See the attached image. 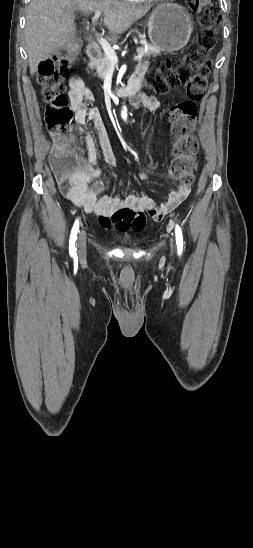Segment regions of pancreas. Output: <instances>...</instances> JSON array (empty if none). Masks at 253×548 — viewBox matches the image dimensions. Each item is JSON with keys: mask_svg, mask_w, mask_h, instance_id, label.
<instances>
[{"mask_svg": "<svg viewBox=\"0 0 253 548\" xmlns=\"http://www.w3.org/2000/svg\"><path fill=\"white\" fill-rule=\"evenodd\" d=\"M137 53L141 54L143 57L157 56L161 53V50L157 46L148 45L147 50L143 47L137 48ZM88 66L91 69H96V73L102 79L105 78L106 74L110 70L112 64L106 54L99 56L97 59L92 60Z\"/></svg>", "mask_w": 253, "mask_h": 548, "instance_id": "pancreas-1", "label": "pancreas"}]
</instances>
